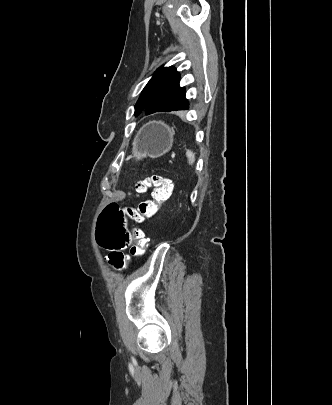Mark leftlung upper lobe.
<instances>
[{
	"mask_svg": "<svg viewBox=\"0 0 332 405\" xmlns=\"http://www.w3.org/2000/svg\"><path fill=\"white\" fill-rule=\"evenodd\" d=\"M179 81L180 76L175 68H159L143 89L135 105V115L150 105L162 111L187 110L189 103L185 98V88L179 86Z\"/></svg>",
	"mask_w": 332,
	"mask_h": 405,
	"instance_id": "obj_1",
	"label": "left lung upper lobe"
}]
</instances>
